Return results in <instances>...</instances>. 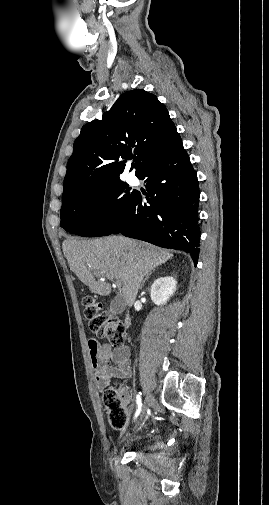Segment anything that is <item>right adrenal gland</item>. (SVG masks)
<instances>
[{
	"label": "right adrenal gland",
	"instance_id": "2a0ac1e0",
	"mask_svg": "<svg viewBox=\"0 0 269 505\" xmlns=\"http://www.w3.org/2000/svg\"><path fill=\"white\" fill-rule=\"evenodd\" d=\"M155 270H156V269L151 270V271H150V272L146 275V277H145V278L143 279V281H142V284H141L140 288H142V286L144 285L145 281L149 278V276H150V275L152 274V272H154Z\"/></svg>",
	"mask_w": 269,
	"mask_h": 505
}]
</instances>
